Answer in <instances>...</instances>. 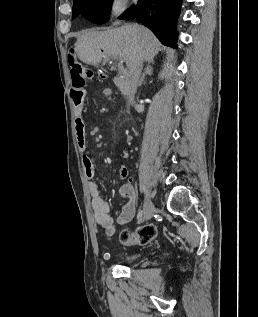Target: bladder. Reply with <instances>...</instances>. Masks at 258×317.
<instances>
[{
    "mask_svg": "<svg viewBox=\"0 0 258 317\" xmlns=\"http://www.w3.org/2000/svg\"><path fill=\"white\" fill-rule=\"evenodd\" d=\"M139 256H140V253H133V254H129V255L125 256L124 259L126 261H133V260H136Z\"/></svg>",
    "mask_w": 258,
    "mask_h": 317,
    "instance_id": "31cf9c89",
    "label": "bladder"
}]
</instances>
